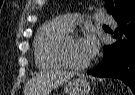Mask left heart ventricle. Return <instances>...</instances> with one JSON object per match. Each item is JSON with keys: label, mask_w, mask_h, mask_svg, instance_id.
Wrapping results in <instances>:
<instances>
[{"label": "left heart ventricle", "mask_w": 135, "mask_h": 95, "mask_svg": "<svg viewBox=\"0 0 135 95\" xmlns=\"http://www.w3.org/2000/svg\"><path fill=\"white\" fill-rule=\"evenodd\" d=\"M66 52L69 60L75 63H84L86 58L81 49L80 38H72L66 46Z\"/></svg>", "instance_id": "left-heart-ventricle-1"}]
</instances>
